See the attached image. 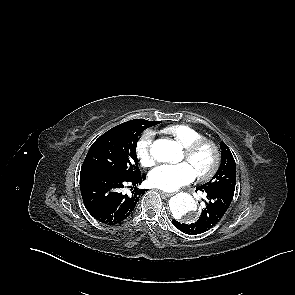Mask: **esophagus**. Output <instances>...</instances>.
<instances>
[{"mask_svg":"<svg viewBox=\"0 0 295 295\" xmlns=\"http://www.w3.org/2000/svg\"><path fill=\"white\" fill-rule=\"evenodd\" d=\"M162 196L164 197H171L173 194L172 193H167L165 191L162 190H157Z\"/></svg>","mask_w":295,"mask_h":295,"instance_id":"obj_1","label":"esophagus"}]
</instances>
